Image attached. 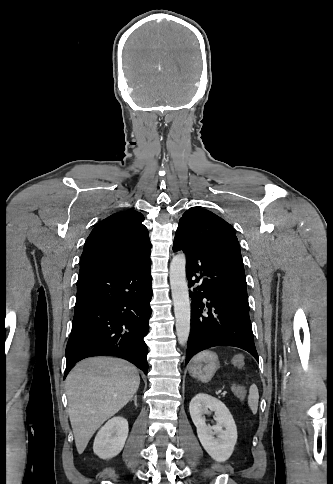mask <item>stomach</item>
<instances>
[{
	"label": "stomach",
	"instance_id": "stomach-1",
	"mask_svg": "<svg viewBox=\"0 0 333 484\" xmlns=\"http://www.w3.org/2000/svg\"><path fill=\"white\" fill-rule=\"evenodd\" d=\"M218 356L211 351H203L197 354L189 364V372L192 377L208 382L219 368Z\"/></svg>",
	"mask_w": 333,
	"mask_h": 484
}]
</instances>
